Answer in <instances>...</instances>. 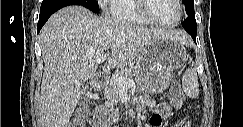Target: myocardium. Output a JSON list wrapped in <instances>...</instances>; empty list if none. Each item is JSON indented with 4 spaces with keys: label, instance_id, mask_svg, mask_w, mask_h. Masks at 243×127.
<instances>
[{
    "label": "myocardium",
    "instance_id": "obj_1",
    "mask_svg": "<svg viewBox=\"0 0 243 127\" xmlns=\"http://www.w3.org/2000/svg\"><path fill=\"white\" fill-rule=\"evenodd\" d=\"M147 1L148 0H138L137 4H138V9H139L140 14L149 23H151L152 25L158 26V27H163V28H173V27H176L181 24L182 19L184 17V7H183L181 0H175L176 4L178 6V9H179V17L173 23H164V22H161V21L157 20L156 18H154V16L149 11Z\"/></svg>",
    "mask_w": 243,
    "mask_h": 127
}]
</instances>
